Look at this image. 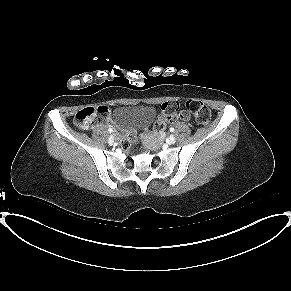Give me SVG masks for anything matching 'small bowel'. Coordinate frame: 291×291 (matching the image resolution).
Returning <instances> with one entry per match:
<instances>
[{
	"label": "small bowel",
	"instance_id": "1",
	"mask_svg": "<svg viewBox=\"0 0 291 291\" xmlns=\"http://www.w3.org/2000/svg\"><path fill=\"white\" fill-rule=\"evenodd\" d=\"M188 118H189V115L186 112H183V111L179 112L177 117H176V119L181 121V122L186 121Z\"/></svg>",
	"mask_w": 291,
	"mask_h": 291
}]
</instances>
